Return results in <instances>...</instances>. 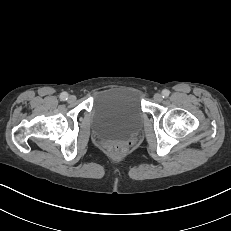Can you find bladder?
<instances>
[{
    "label": "bladder",
    "mask_w": 231,
    "mask_h": 231,
    "mask_svg": "<svg viewBox=\"0 0 231 231\" xmlns=\"http://www.w3.org/2000/svg\"><path fill=\"white\" fill-rule=\"evenodd\" d=\"M91 132L100 141L126 140L142 124L141 92L136 88L114 87L98 92L91 107Z\"/></svg>",
    "instance_id": "bladder-1"
}]
</instances>
